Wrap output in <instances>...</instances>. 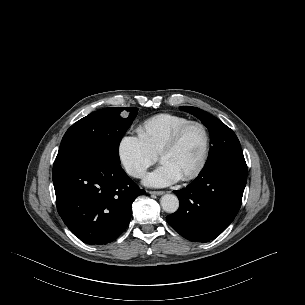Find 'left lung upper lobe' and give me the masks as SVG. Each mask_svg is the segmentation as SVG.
<instances>
[{
  "label": "left lung upper lobe",
  "mask_w": 305,
  "mask_h": 305,
  "mask_svg": "<svg viewBox=\"0 0 305 305\" xmlns=\"http://www.w3.org/2000/svg\"><path fill=\"white\" fill-rule=\"evenodd\" d=\"M180 109L198 117L210 132L213 146L205 167L230 153L242 151L237 136L222 121L196 107L181 106Z\"/></svg>",
  "instance_id": "1"
}]
</instances>
